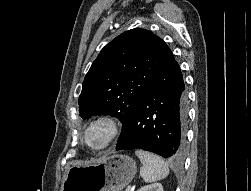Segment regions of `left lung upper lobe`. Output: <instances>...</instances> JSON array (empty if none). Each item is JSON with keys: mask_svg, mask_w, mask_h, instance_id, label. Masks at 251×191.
<instances>
[{"mask_svg": "<svg viewBox=\"0 0 251 191\" xmlns=\"http://www.w3.org/2000/svg\"><path fill=\"white\" fill-rule=\"evenodd\" d=\"M171 56L166 43L148 30L135 28L120 34L101 50L85 76L78 101L80 116L119 118L121 137Z\"/></svg>", "mask_w": 251, "mask_h": 191, "instance_id": "1", "label": "left lung upper lobe"}]
</instances>
